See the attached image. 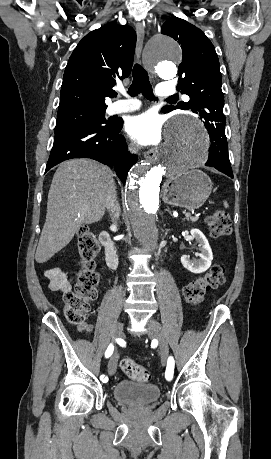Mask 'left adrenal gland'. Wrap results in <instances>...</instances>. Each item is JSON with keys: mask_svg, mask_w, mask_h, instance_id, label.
<instances>
[{"mask_svg": "<svg viewBox=\"0 0 271 459\" xmlns=\"http://www.w3.org/2000/svg\"><path fill=\"white\" fill-rule=\"evenodd\" d=\"M165 212H169V214H171L170 208H167V210H165Z\"/></svg>", "mask_w": 271, "mask_h": 459, "instance_id": "1", "label": "left adrenal gland"}]
</instances>
